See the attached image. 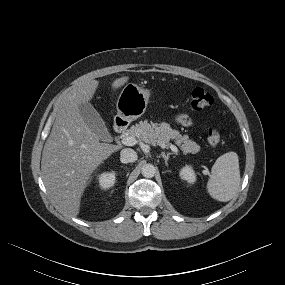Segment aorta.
<instances>
[{
  "label": "aorta",
  "mask_w": 285,
  "mask_h": 285,
  "mask_svg": "<svg viewBox=\"0 0 285 285\" xmlns=\"http://www.w3.org/2000/svg\"><path fill=\"white\" fill-rule=\"evenodd\" d=\"M141 173L146 178H152L156 173V168L152 164H145L142 166Z\"/></svg>",
  "instance_id": "762f6f07"
}]
</instances>
